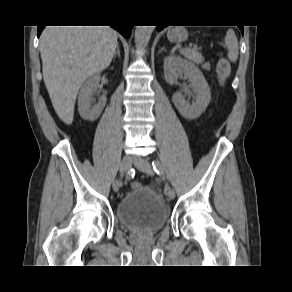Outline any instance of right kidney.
Masks as SVG:
<instances>
[{"instance_id":"1","label":"right kidney","mask_w":292,"mask_h":292,"mask_svg":"<svg viewBox=\"0 0 292 292\" xmlns=\"http://www.w3.org/2000/svg\"><path fill=\"white\" fill-rule=\"evenodd\" d=\"M100 82V75L91 76L81 87L78 95V111L80 116L89 121H95L102 113L106 98L101 97L97 104H94L92 95L97 91Z\"/></svg>"}]
</instances>
